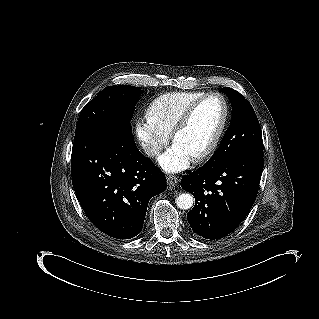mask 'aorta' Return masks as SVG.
<instances>
[{
  "label": "aorta",
  "instance_id": "obj_1",
  "mask_svg": "<svg viewBox=\"0 0 319 319\" xmlns=\"http://www.w3.org/2000/svg\"><path fill=\"white\" fill-rule=\"evenodd\" d=\"M175 202L178 208L187 210L193 206L194 198L189 193H182L177 196Z\"/></svg>",
  "mask_w": 319,
  "mask_h": 319
}]
</instances>
